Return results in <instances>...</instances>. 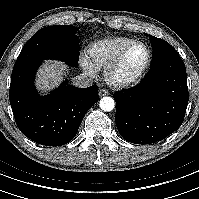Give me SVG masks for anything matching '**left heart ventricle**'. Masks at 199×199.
I'll use <instances>...</instances> for the list:
<instances>
[{
	"instance_id": "b2bd125f",
	"label": "left heart ventricle",
	"mask_w": 199,
	"mask_h": 199,
	"mask_svg": "<svg viewBox=\"0 0 199 199\" xmlns=\"http://www.w3.org/2000/svg\"><path fill=\"white\" fill-rule=\"evenodd\" d=\"M146 52L143 47L133 48L125 57V60L117 72V77L128 79L133 77L143 66Z\"/></svg>"
}]
</instances>
